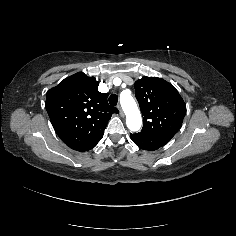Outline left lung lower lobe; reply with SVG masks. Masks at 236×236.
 <instances>
[{
  "label": "left lung lower lobe",
  "mask_w": 236,
  "mask_h": 236,
  "mask_svg": "<svg viewBox=\"0 0 236 236\" xmlns=\"http://www.w3.org/2000/svg\"><path fill=\"white\" fill-rule=\"evenodd\" d=\"M130 137L139 148L150 151L164 146L170 140L165 137L145 136L140 133L130 134Z\"/></svg>",
  "instance_id": "1"
}]
</instances>
